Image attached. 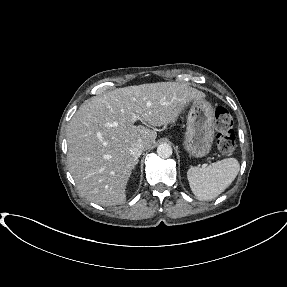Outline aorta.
Returning <instances> with one entry per match:
<instances>
[{
	"instance_id": "1",
	"label": "aorta",
	"mask_w": 287,
	"mask_h": 287,
	"mask_svg": "<svg viewBox=\"0 0 287 287\" xmlns=\"http://www.w3.org/2000/svg\"><path fill=\"white\" fill-rule=\"evenodd\" d=\"M157 154L161 158H169L172 155V147L167 143H162L157 147Z\"/></svg>"
}]
</instances>
